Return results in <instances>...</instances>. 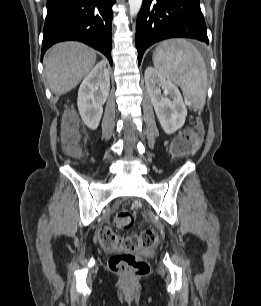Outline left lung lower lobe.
I'll return each instance as SVG.
<instances>
[{"label": "left lung lower lobe", "instance_id": "left-lung-lower-lobe-1", "mask_svg": "<svg viewBox=\"0 0 261 306\" xmlns=\"http://www.w3.org/2000/svg\"><path fill=\"white\" fill-rule=\"evenodd\" d=\"M175 37L193 38L208 44L200 0H143L135 38L139 64L149 46Z\"/></svg>", "mask_w": 261, "mask_h": 306}]
</instances>
